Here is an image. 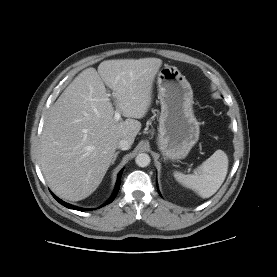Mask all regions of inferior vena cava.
I'll list each match as a JSON object with an SVG mask.
<instances>
[{
	"instance_id": "1",
	"label": "inferior vena cava",
	"mask_w": 277,
	"mask_h": 277,
	"mask_svg": "<svg viewBox=\"0 0 277 277\" xmlns=\"http://www.w3.org/2000/svg\"><path fill=\"white\" fill-rule=\"evenodd\" d=\"M130 147H131V143L125 139H122L117 143V148L121 150H128Z\"/></svg>"
}]
</instances>
